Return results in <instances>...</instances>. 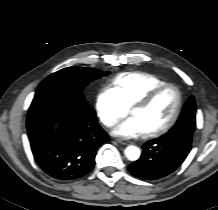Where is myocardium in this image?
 Returning <instances> with one entry per match:
<instances>
[{
	"mask_svg": "<svg viewBox=\"0 0 218 210\" xmlns=\"http://www.w3.org/2000/svg\"><path fill=\"white\" fill-rule=\"evenodd\" d=\"M168 88L174 89L176 92V95H177V103H176L175 110H174L171 118L169 119V121L164 126L158 128L156 130L145 133V136H147V137L161 136V135L165 134L166 132H168L176 124V122L180 116L182 106H183V95H182L180 88L173 83H164L162 85H159V86L155 87L154 89H152L151 91H149L148 93H146L137 102H135L131 108V113H132L133 109H135V108L149 106L161 92H163L164 90H166Z\"/></svg>",
	"mask_w": 218,
	"mask_h": 210,
	"instance_id": "obj_1",
	"label": "myocardium"
}]
</instances>
